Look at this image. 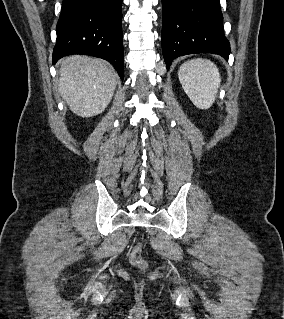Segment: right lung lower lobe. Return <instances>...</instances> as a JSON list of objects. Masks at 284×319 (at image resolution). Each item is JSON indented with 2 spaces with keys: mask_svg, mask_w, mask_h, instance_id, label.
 Returning <instances> with one entry per match:
<instances>
[{
  "mask_svg": "<svg viewBox=\"0 0 284 319\" xmlns=\"http://www.w3.org/2000/svg\"><path fill=\"white\" fill-rule=\"evenodd\" d=\"M122 0H63L53 64L70 54L109 61L124 77Z\"/></svg>",
  "mask_w": 284,
  "mask_h": 319,
  "instance_id": "obj_1",
  "label": "right lung lower lobe"
}]
</instances>
